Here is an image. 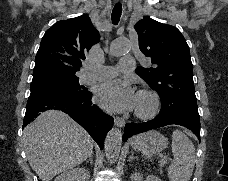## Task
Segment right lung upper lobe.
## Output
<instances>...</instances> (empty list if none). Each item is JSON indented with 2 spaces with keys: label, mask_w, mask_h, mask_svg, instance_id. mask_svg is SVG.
<instances>
[{
  "label": "right lung upper lobe",
  "mask_w": 228,
  "mask_h": 181,
  "mask_svg": "<svg viewBox=\"0 0 228 181\" xmlns=\"http://www.w3.org/2000/svg\"><path fill=\"white\" fill-rule=\"evenodd\" d=\"M98 41L99 33L85 14L56 22L41 40L33 80L75 75L86 52Z\"/></svg>",
  "instance_id": "cb5924a9"
}]
</instances>
